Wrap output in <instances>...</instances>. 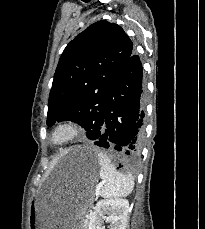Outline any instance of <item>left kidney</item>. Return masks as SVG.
I'll use <instances>...</instances> for the list:
<instances>
[{"instance_id": "left-kidney-1", "label": "left kidney", "mask_w": 205, "mask_h": 229, "mask_svg": "<svg viewBox=\"0 0 205 229\" xmlns=\"http://www.w3.org/2000/svg\"><path fill=\"white\" fill-rule=\"evenodd\" d=\"M128 211V200H100L97 202L94 212L89 216L88 229H105L104 221L110 224V229H126Z\"/></svg>"}]
</instances>
